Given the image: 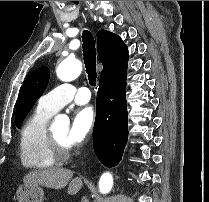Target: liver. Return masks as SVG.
Here are the masks:
<instances>
[{
    "label": "liver",
    "mask_w": 209,
    "mask_h": 202,
    "mask_svg": "<svg viewBox=\"0 0 209 202\" xmlns=\"http://www.w3.org/2000/svg\"><path fill=\"white\" fill-rule=\"evenodd\" d=\"M73 172L65 168H51L36 170L26 174L23 178L25 185H39L51 189H63L68 183V194L75 195L82 188L81 178L72 179Z\"/></svg>",
    "instance_id": "6515ba94"
}]
</instances>
